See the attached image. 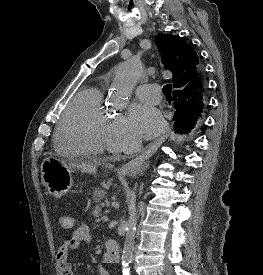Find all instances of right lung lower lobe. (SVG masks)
Masks as SVG:
<instances>
[{
	"label": "right lung lower lobe",
	"instance_id": "right-lung-lower-lobe-1",
	"mask_svg": "<svg viewBox=\"0 0 263 275\" xmlns=\"http://www.w3.org/2000/svg\"><path fill=\"white\" fill-rule=\"evenodd\" d=\"M197 76L203 78L201 66L197 70ZM185 94L181 91H173V101L175 106V115L173 117L175 133H189L196 124L200 123L202 114H193L184 108Z\"/></svg>",
	"mask_w": 263,
	"mask_h": 275
}]
</instances>
